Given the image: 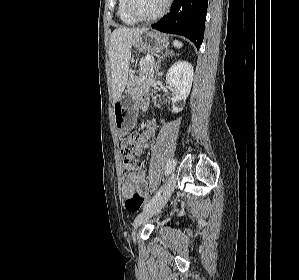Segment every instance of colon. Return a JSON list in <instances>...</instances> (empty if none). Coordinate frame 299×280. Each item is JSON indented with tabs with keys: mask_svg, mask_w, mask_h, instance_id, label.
Returning a JSON list of instances; mask_svg holds the SVG:
<instances>
[{
	"mask_svg": "<svg viewBox=\"0 0 299 280\" xmlns=\"http://www.w3.org/2000/svg\"><path fill=\"white\" fill-rule=\"evenodd\" d=\"M137 136H141V129L135 128L130 131V135L125 137L121 145V154L123 156V173H129L139 168V162L133 156V148L137 140ZM145 199L139 195L134 194L125 201V208L130 212L138 211L143 205Z\"/></svg>",
	"mask_w": 299,
	"mask_h": 280,
	"instance_id": "colon-1",
	"label": "colon"
}]
</instances>
